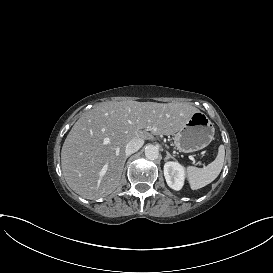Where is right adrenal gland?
Returning <instances> with one entry per match:
<instances>
[{"label": "right adrenal gland", "mask_w": 273, "mask_h": 273, "mask_svg": "<svg viewBox=\"0 0 273 273\" xmlns=\"http://www.w3.org/2000/svg\"><path fill=\"white\" fill-rule=\"evenodd\" d=\"M129 157H130L129 155H128V156H126V157H125V161H126V160H127V158H129Z\"/></svg>", "instance_id": "1"}]
</instances>
